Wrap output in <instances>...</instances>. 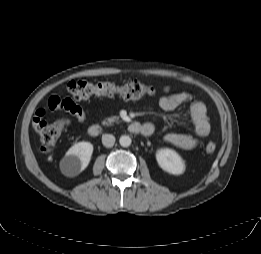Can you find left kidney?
<instances>
[{
	"label": "left kidney",
	"mask_w": 261,
	"mask_h": 254,
	"mask_svg": "<svg viewBox=\"0 0 261 254\" xmlns=\"http://www.w3.org/2000/svg\"><path fill=\"white\" fill-rule=\"evenodd\" d=\"M159 166L168 173L180 175L185 171V163L181 156L171 149H160L156 152Z\"/></svg>",
	"instance_id": "1"
}]
</instances>
